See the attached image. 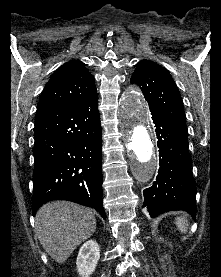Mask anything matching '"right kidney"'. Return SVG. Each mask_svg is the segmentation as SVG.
<instances>
[{
    "label": "right kidney",
    "instance_id": "obj_1",
    "mask_svg": "<svg viewBox=\"0 0 221 277\" xmlns=\"http://www.w3.org/2000/svg\"><path fill=\"white\" fill-rule=\"evenodd\" d=\"M100 258V248L94 240H88L80 248L76 265L81 277H89L95 270Z\"/></svg>",
    "mask_w": 221,
    "mask_h": 277
}]
</instances>
